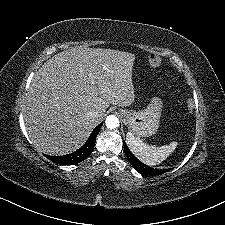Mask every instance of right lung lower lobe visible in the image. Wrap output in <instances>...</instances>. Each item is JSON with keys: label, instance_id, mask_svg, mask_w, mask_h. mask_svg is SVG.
<instances>
[{"label": "right lung lower lobe", "instance_id": "right-lung-lower-lobe-1", "mask_svg": "<svg viewBox=\"0 0 225 225\" xmlns=\"http://www.w3.org/2000/svg\"><path fill=\"white\" fill-rule=\"evenodd\" d=\"M102 126V123L99 124L91 133L90 137L86 141V143L79 148L77 151L63 155V156H46L51 161L60 164V165H74L83 160H85L93 151L96 137L99 133V130Z\"/></svg>", "mask_w": 225, "mask_h": 225}]
</instances>
